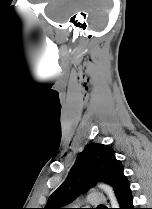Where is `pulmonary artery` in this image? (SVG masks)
Listing matches in <instances>:
<instances>
[{"instance_id": "pulmonary-artery-1", "label": "pulmonary artery", "mask_w": 152, "mask_h": 209, "mask_svg": "<svg viewBox=\"0 0 152 209\" xmlns=\"http://www.w3.org/2000/svg\"><path fill=\"white\" fill-rule=\"evenodd\" d=\"M86 202L89 205L97 206V205H102L105 202L104 196L100 192H94L93 194H90Z\"/></svg>"}]
</instances>
